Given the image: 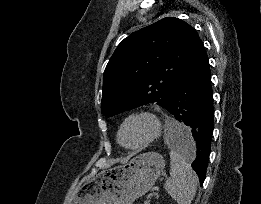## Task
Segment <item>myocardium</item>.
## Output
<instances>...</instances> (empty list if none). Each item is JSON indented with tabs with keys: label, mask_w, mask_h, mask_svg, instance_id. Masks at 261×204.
Wrapping results in <instances>:
<instances>
[{
	"label": "myocardium",
	"mask_w": 261,
	"mask_h": 204,
	"mask_svg": "<svg viewBox=\"0 0 261 204\" xmlns=\"http://www.w3.org/2000/svg\"><path fill=\"white\" fill-rule=\"evenodd\" d=\"M135 119L147 120L151 125V131H150L149 135L141 142L134 144V145H126L122 141V138H121L122 131L127 123H129L130 121L135 120ZM161 133H162V122H161V119L159 118V116L156 113H154L153 111L143 109V110L134 111V112L128 114L122 120V122L118 128V131H117V140H118L119 144L122 147H124L125 149L138 150V149H142V148L148 146L150 143L154 142L156 139L159 138Z\"/></svg>",
	"instance_id": "myocardium-1"
}]
</instances>
